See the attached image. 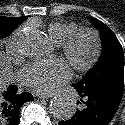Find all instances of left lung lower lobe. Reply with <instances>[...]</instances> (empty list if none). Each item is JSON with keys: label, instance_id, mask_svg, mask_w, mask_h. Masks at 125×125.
<instances>
[{"label": "left lung lower lobe", "instance_id": "obj_1", "mask_svg": "<svg viewBox=\"0 0 125 125\" xmlns=\"http://www.w3.org/2000/svg\"><path fill=\"white\" fill-rule=\"evenodd\" d=\"M80 95L81 108L59 125H108L118 109L124 87L116 86L84 93L74 84Z\"/></svg>", "mask_w": 125, "mask_h": 125}]
</instances>
